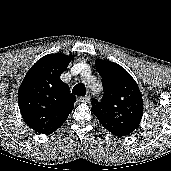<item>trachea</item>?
I'll return each mask as SVG.
<instances>
[{"label": "trachea", "mask_w": 171, "mask_h": 171, "mask_svg": "<svg viewBox=\"0 0 171 171\" xmlns=\"http://www.w3.org/2000/svg\"><path fill=\"white\" fill-rule=\"evenodd\" d=\"M72 93L78 96H85L86 95V89L83 84H77L73 87Z\"/></svg>", "instance_id": "obj_1"}]
</instances>
